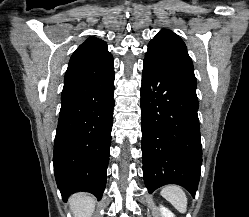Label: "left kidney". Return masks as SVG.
I'll list each match as a JSON object with an SVG mask.
<instances>
[{
  "instance_id": "5707ae66",
  "label": "left kidney",
  "mask_w": 249,
  "mask_h": 217,
  "mask_svg": "<svg viewBox=\"0 0 249 217\" xmlns=\"http://www.w3.org/2000/svg\"><path fill=\"white\" fill-rule=\"evenodd\" d=\"M160 212L162 214V217H175L174 214L164 206H160Z\"/></svg>"
}]
</instances>
